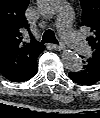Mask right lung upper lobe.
I'll use <instances>...</instances> for the list:
<instances>
[{
	"label": "right lung upper lobe",
	"mask_w": 100,
	"mask_h": 118,
	"mask_svg": "<svg viewBox=\"0 0 100 118\" xmlns=\"http://www.w3.org/2000/svg\"><path fill=\"white\" fill-rule=\"evenodd\" d=\"M28 4L29 0H0V73L8 78L19 74L41 45L34 39L22 41Z\"/></svg>",
	"instance_id": "obj_1"
}]
</instances>
